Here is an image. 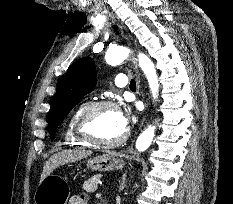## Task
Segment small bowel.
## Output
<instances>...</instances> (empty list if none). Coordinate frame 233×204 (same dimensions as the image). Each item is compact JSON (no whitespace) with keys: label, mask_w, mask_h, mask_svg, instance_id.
Here are the masks:
<instances>
[{"label":"small bowel","mask_w":233,"mask_h":204,"mask_svg":"<svg viewBox=\"0 0 233 204\" xmlns=\"http://www.w3.org/2000/svg\"><path fill=\"white\" fill-rule=\"evenodd\" d=\"M69 204H85V196L74 195L70 198Z\"/></svg>","instance_id":"c3829d8e"}]
</instances>
